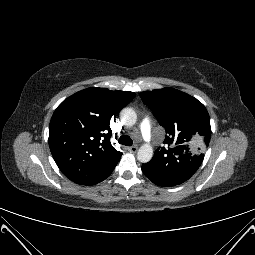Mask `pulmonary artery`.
Instances as JSON below:
<instances>
[{
  "label": "pulmonary artery",
  "mask_w": 255,
  "mask_h": 255,
  "mask_svg": "<svg viewBox=\"0 0 255 255\" xmlns=\"http://www.w3.org/2000/svg\"><path fill=\"white\" fill-rule=\"evenodd\" d=\"M140 130L143 138L147 141H151V122L148 118H144L140 124Z\"/></svg>",
  "instance_id": "obj_1"
}]
</instances>
